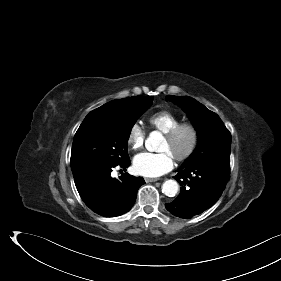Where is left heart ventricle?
I'll use <instances>...</instances> for the list:
<instances>
[{
	"label": "left heart ventricle",
	"instance_id": "1",
	"mask_svg": "<svg viewBox=\"0 0 281 281\" xmlns=\"http://www.w3.org/2000/svg\"><path fill=\"white\" fill-rule=\"evenodd\" d=\"M190 141V134L184 131L174 142H170L164 138L161 151H168L175 157L176 155L186 151V149L189 147Z\"/></svg>",
	"mask_w": 281,
	"mask_h": 281
}]
</instances>
